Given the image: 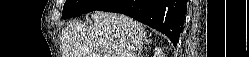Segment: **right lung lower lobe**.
Wrapping results in <instances>:
<instances>
[{
    "instance_id": "right-lung-lower-lobe-1",
    "label": "right lung lower lobe",
    "mask_w": 249,
    "mask_h": 57,
    "mask_svg": "<svg viewBox=\"0 0 249 57\" xmlns=\"http://www.w3.org/2000/svg\"><path fill=\"white\" fill-rule=\"evenodd\" d=\"M97 10L128 15L164 33L176 45L184 24L187 0H109Z\"/></svg>"
}]
</instances>
